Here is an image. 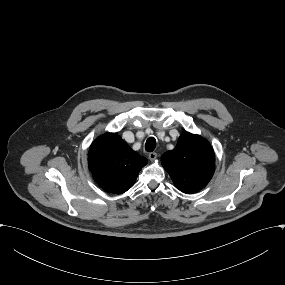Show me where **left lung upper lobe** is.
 I'll use <instances>...</instances> for the list:
<instances>
[{
	"mask_svg": "<svg viewBox=\"0 0 285 285\" xmlns=\"http://www.w3.org/2000/svg\"><path fill=\"white\" fill-rule=\"evenodd\" d=\"M164 169L184 193L204 188L214 173L215 155L210 143L199 135L181 134L173 150L161 157Z\"/></svg>",
	"mask_w": 285,
	"mask_h": 285,
	"instance_id": "1",
	"label": "left lung upper lobe"
}]
</instances>
